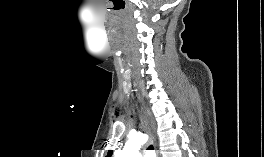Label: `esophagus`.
Masks as SVG:
<instances>
[{
  "label": "esophagus",
  "instance_id": "obj_1",
  "mask_svg": "<svg viewBox=\"0 0 264 157\" xmlns=\"http://www.w3.org/2000/svg\"><path fill=\"white\" fill-rule=\"evenodd\" d=\"M145 113H146V116H147V118L149 120L151 129H152V137H153V140H154V146H155V149H156L157 157H161L160 152L157 149V140H156V135H155L154 123H153V120L151 118L150 111H149V109L147 107H145Z\"/></svg>",
  "mask_w": 264,
  "mask_h": 157
}]
</instances>
